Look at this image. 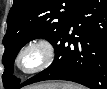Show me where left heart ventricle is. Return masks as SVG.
Returning <instances> with one entry per match:
<instances>
[{
	"instance_id": "obj_1",
	"label": "left heart ventricle",
	"mask_w": 107,
	"mask_h": 89,
	"mask_svg": "<svg viewBox=\"0 0 107 89\" xmlns=\"http://www.w3.org/2000/svg\"><path fill=\"white\" fill-rule=\"evenodd\" d=\"M42 54L41 51L38 49H32L28 51L23 59H22V65L24 68H33L35 67L41 60Z\"/></svg>"
}]
</instances>
